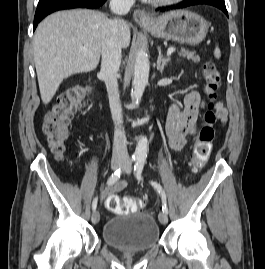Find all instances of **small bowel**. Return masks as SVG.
Wrapping results in <instances>:
<instances>
[{"instance_id":"obj_1","label":"small bowel","mask_w":265,"mask_h":269,"mask_svg":"<svg viewBox=\"0 0 265 269\" xmlns=\"http://www.w3.org/2000/svg\"><path fill=\"white\" fill-rule=\"evenodd\" d=\"M204 91L208 93V87H205ZM203 107L204 99L202 95L193 89L187 91L183 109L177 103L170 106L165 129L171 151L181 152L187 144L188 137L195 134L196 121ZM216 113L222 123L227 121V111L222 103L217 104ZM127 186L128 183L125 180L108 185L100 194L101 201L104 202L108 196L124 190Z\"/></svg>"}]
</instances>
